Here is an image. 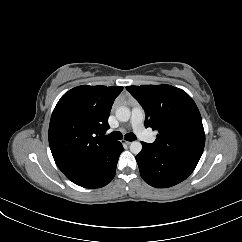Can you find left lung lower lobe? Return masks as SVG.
Wrapping results in <instances>:
<instances>
[{
    "label": "left lung lower lobe",
    "instance_id": "1",
    "mask_svg": "<svg viewBox=\"0 0 242 242\" xmlns=\"http://www.w3.org/2000/svg\"><path fill=\"white\" fill-rule=\"evenodd\" d=\"M142 151L136 156L144 181L157 188L174 186L185 180L195 169L197 161L167 154L151 144L141 142Z\"/></svg>",
    "mask_w": 242,
    "mask_h": 242
}]
</instances>
